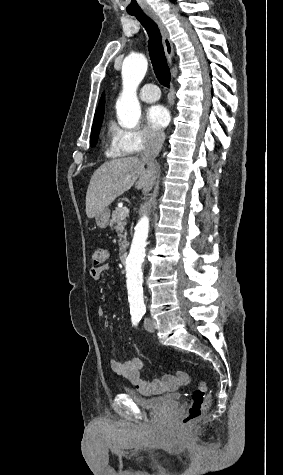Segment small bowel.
<instances>
[{"instance_id":"small-bowel-1","label":"small bowel","mask_w":283,"mask_h":475,"mask_svg":"<svg viewBox=\"0 0 283 475\" xmlns=\"http://www.w3.org/2000/svg\"><path fill=\"white\" fill-rule=\"evenodd\" d=\"M108 268V265L94 266L90 268L89 276L92 280L97 281L101 278L103 273L108 270ZM97 315L99 317H104L106 315L105 309L103 307H99L97 310ZM110 368L115 374L123 377L126 381H128L131 385L135 386L137 389L141 391L147 389V382L144 381L140 376V370L142 368V360L140 358L132 357L123 362L117 359H111ZM180 378L182 380H187L189 378V373L187 371H182L180 373ZM182 380V383H186ZM162 382L165 385H173L175 383L174 373L172 371H167L163 379L161 377L155 378L156 384H161Z\"/></svg>"}]
</instances>
